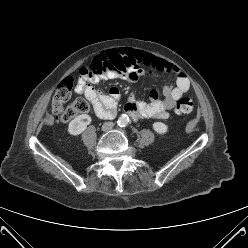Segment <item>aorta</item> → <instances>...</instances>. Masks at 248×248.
<instances>
[{
    "instance_id": "aorta-1",
    "label": "aorta",
    "mask_w": 248,
    "mask_h": 248,
    "mask_svg": "<svg viewBox=\"0 0 248 248\" xmlns=\"http://www.w3.org/2000/svg\"><path fill=\"white\" fill-rule=\"evenodd\" d=\"M129 122V117L126 114H123L118 119V125L120 127H125Z\"/></svg>"
}]
</instances>
